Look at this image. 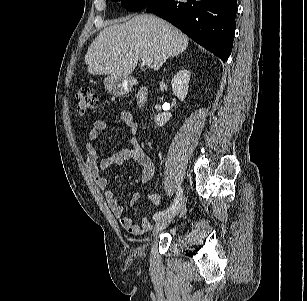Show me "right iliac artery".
Listing matches in <instances>:
<instances>
[{
	"instance_id": "obj_1",
	"label": "right iliac artery",
	"mask_w": 307,
	"mask_h": 301,
	"mask_svg": "<svg viewBox=\"0 0 307 301\" xmlns=\"http://www.w3.org/2000/svg\"><path fill=\"white\" fill-rule=\"evenodd\" d=\"M182 196H183V190L181 187H178V190H177V193H176V197L174 199V202L173 204L166 210L164 211H159V212H156L154 215H153V219L154 220H158L160 219L162 216H164L166 213H168L171 209H173L177 204L178 202L182 199Z\"/></svg>"
}]
</instances>
